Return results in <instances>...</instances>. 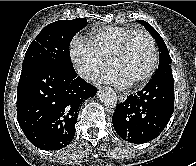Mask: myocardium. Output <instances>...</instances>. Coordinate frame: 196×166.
Masks as SVG:
<instances>
[{
    "instance_id": "f54148a6",
    "label": "myocardium",
    "mask_w": 196,
    "mask_h": 166,
    "mask_svg": "<svg viewBox=\"0 0 196 166\" xmlns=\"http://www.w3.org/2000/svg\"><path fill=\"white\" fill-rule=\"evenodd\" d=\"M137 34H142L148 38L152 48V62L149 69L146 71V73L142 75L140 78H138L137 80L131 82L130 83L131 86H139L146 83L155 73L159 60L158 47L153 36L146 30L137 29V30H133L123 39L120 46L115 51V53L113 54L110 60L111 66L113 67L115 63L126 53L130 40Z\"/></svg>"
}]
</instances>
